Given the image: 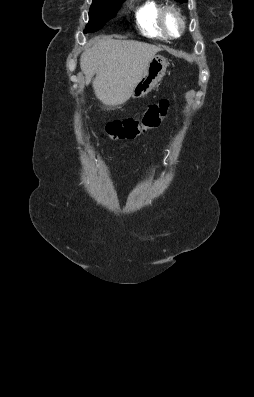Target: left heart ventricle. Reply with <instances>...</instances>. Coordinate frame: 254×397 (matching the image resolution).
I'll return each instance as SVG.
<instances>
[{"instance_id": "obj_1", "label": "left heart ventricle", "mask_w": 254, "mask_h": 397, "mask_svg": "<svg viewBox=\"0 0 254 397\" xmlns=\"http://www.w3.org/2000/svg\"><path fill=\"white\" fill-rule=\"evenodd\" d=\"M166 24L171 33L177 34L180 29V23L174 14H168L166 17Z\"/></svg>"}]
</instances>
